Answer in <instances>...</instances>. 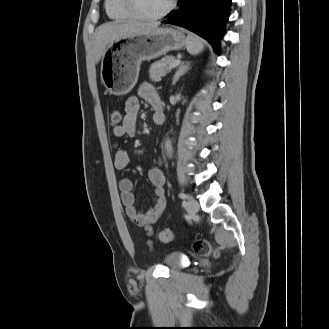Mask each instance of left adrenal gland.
Returning a JSON list of instances; mask_svg holds the SVG:
<instances>
[{
    "label": "left adrenal gland",
    "instance_id": "a2214340",
    "mask_svg": "<svg viewBox=\"0 0 329 329\" xmlns=\"http://www.w3.org/2000/svg\"><path fill=\"white\" fill-rule=\"evenodd\" d=\"M190 69H191L190 62L182 61L179 65L175 75L173 76L172 84L175 85V83L179 80V78L182 75L186 74Z\"/></svg>",
    "mask_w": 329,
    "mask_h": 329
}]
</instances>
